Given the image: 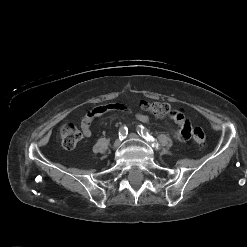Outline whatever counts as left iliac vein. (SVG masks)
<instances>
[{
	"label": "left iliac vein",
	"mask_w": 247,
	"mask_h": 247,
	"mask_svg": "<svg viewBox=\"0 0 247 247\" xmlns=\"http://www.w3.org/2000/svg\"><path fill=\"white\" fill-rule=\"evenodd\" d=\"M128 136L131 139H140V137L136 133H130Z\"/></svg>",
	"instance_id": "left-iliac-vein-1"
}]
</instances>
